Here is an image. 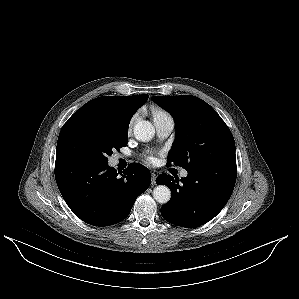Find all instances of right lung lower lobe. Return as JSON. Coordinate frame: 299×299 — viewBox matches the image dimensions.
<instances>
[{"mask_svg":"<svg viewBox=\"0 0 299 299\" xmlns=\"http://www.w3.org/2000/svg\"><path fill=\"white\" fill-rule=\"evenodd\" d=\"M55 178L73 213L98 227L124 220L151 183L150 171L141 164L131 163L123 173H117L107 163L72 157H56Z\"/></svg>","mask_w":299,"mask_h":299,"instance_id":"right-lung-lower-lobe-1","label":"right lung lower lobe"}]
</instances>
